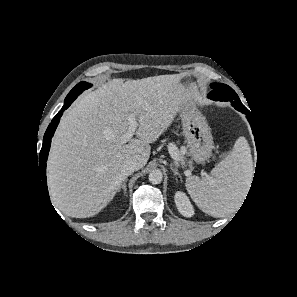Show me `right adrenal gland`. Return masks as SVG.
Returning a JSON list of instances; mask_svg holds the SVG:
<instances>
[{
	"label": "right adrenal gland",
	"instance_id": "2a0ac1e0",
	"mask_svg": "<svg viewBox=\"0 0 297 297\" xmlns=\"http://www.w3.org/2000/svg\"><path fill=\"white\" fill-rule=\"evenodd\" d=\"M127 180H128L127 178L124 179L123 183L121 184L120 188L118 189V192H120L121 189H123L124 195H126V190H127V188H126V182H127Z\"/></svg>",
	"mask_w": 297,
	"mask_h": 297
}]
</instances>
